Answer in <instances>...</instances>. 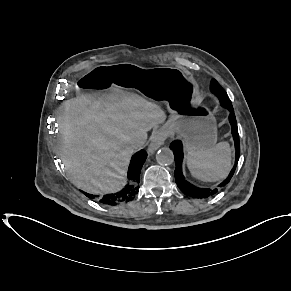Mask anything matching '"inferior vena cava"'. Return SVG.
I'll list each match as a JSON object with an SVG mask.
<instances>
[{
    "label": "inferior vena cava",
    "mask_w": 291,
    "mask_h": 291,
    "mask_svg": "<svg viewBox=\"0 0 291 291\" xmlns=\"http://www.w3.org/2000/svg\"><path fill=\"white\" fill-rule=\"evenodd\" d=\"M140 145H141V142L138 141V140H132V141L130 142V148L133 149V150L139 148Z\"/></svg>",
    "instance_id": "602c4592"
}]
</instances>
